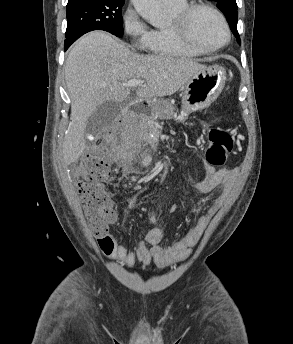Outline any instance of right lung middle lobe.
Segmentation results:
<instances>
[{"label":"right lung middle lobe","instance_id":"1","mask_svg":"<svg viewBox=\"0 0 293 344\" xmlns=\"http://www.w3.org/2000/svg\"><path fill=\"white\" fill-rule=\"evenodd\" d=\"M124 0H80L67 4L66 50L83 34L104 30L117 37L123 35L122 6Z\"/></svg>","mask_w":293,"mask_h":344}]
</instances>
